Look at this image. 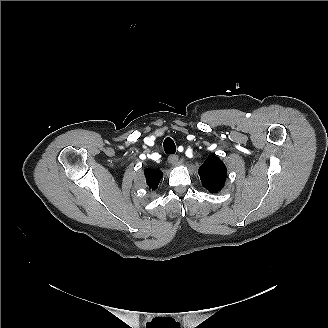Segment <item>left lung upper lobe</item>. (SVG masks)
<instances>
[{"instance_id": "obj_1", "label": "left lung upper lobe", "mask_w": 328, "mask_h": 328, "mask_svg": "<svg viewBox=\"0 0 328 328\" xmlns=\"http://www.w3.org/2000/svg\"><path fill=\"white\" fill-rule=\"evenodd\" d=\"M199 176L202 185L210 193H217L224 186L227 169L217 156L211 155L199 168Z\"/></svg>"}]
</instances>
